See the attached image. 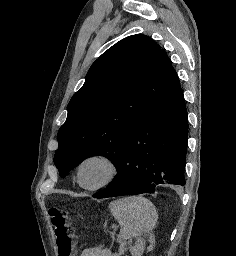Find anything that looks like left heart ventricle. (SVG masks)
Returning a JSON list of instances; mask_svg holds the SVG:
<instances>
[{"mask_svg":"<svg viewBox=\"0 0 236 256\" xmlns=\"http://www.w3.org/2000/svg\"><path fill=\"white\" fill-rule=\"evenodd\" d=\"M109 173V167L100 160L85 163L81 170V180L85 185H95L104 180Z\"/></svg>","mask_w":236,"mask_h":256,"instance_id":"left-heart-ventricle-1","label":"left heart ventricle"}]
</instances>
